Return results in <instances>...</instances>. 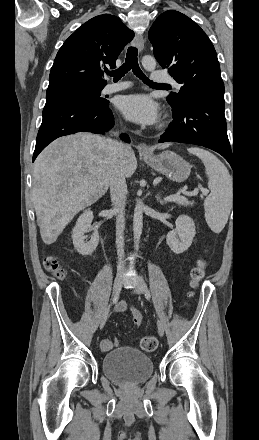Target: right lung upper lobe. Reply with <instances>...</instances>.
<instances>
[{"mask_svg":"<svg viewBox=\"0 0 259 440\" xmlns=\"http://www.w3.org/2000/svg\"><path fill=\"white\" fill-rule=\"evenodd\" d=\"M133 31L110 14L96 16L79 27L59 49L49 76L47 94L76 87L104 88L106 65L115 62Z\"/></svg>","mask_w":259,"mask_h":440,"instance_id":"cb5924a9","label":"right lung upper lobe"}]
</instances>
